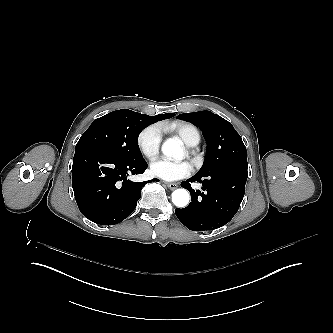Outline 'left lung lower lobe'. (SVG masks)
<instances>
[{
  "label": "left lung lower lobe",
  "instance_id": "left-lung-lower-lobe-1",
  "mask_svg": "<svg viewBox=\"0 0 333 333\" xmlns=\"http://www.w3.org/2000/svg\"><path fill=\"white\" fill-rule=\"evenodd\" d=\"M248 177L247 165L225 166L208 177L193 176L181 186L191 194L190 204L175 209L177 218L192 231L214 230L227 224L238 211ZM200 182L203 187L193 190L190 182Z\"/></svg>",
  "mask_w": 333,
  "mask_h": 333
}]
</instances>
